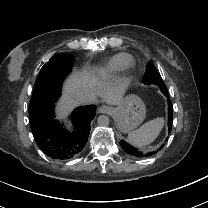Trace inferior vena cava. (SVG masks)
<instances>
[{
    "instance_id": "inferior-vena-cava-1",
    "label": "inferior vena cava",
    "mask_w": 208,
    "mask_h": 208,
    "mask_svg": "<svg viewBox=\"0 0 208 208\" xmlns=\"http://www.w3.org/2000/svg\"><path fill=\"white\" fill-rule=\"evenodd\" d=\"M78 102H86L93 99V93L89 88L80 87L71 93Z\"/></svg>"
}]
</instances>
